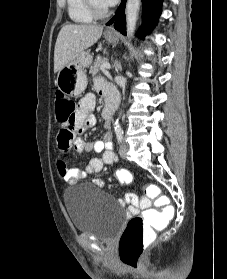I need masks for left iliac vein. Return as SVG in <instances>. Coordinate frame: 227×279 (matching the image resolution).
Returning a JSON list of instances; mask_svg holds the SVG:
<instances>
[{"mask_svg":"<svg viewBox=\"0 0 227 279\" xmlns=\"http://www.w3.org/2000/svg\"><path fill=\"white\" fill-rule=\"evenodd\" d=\"M129 147L125 144H122L119 148V155L121 158H126L128 153Z\"/></svg>","mask_w":227,"mask_h":279,"instance_id":"obj_1","label":"left iliac vein"}]
</instances>
